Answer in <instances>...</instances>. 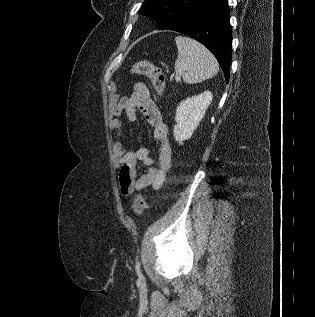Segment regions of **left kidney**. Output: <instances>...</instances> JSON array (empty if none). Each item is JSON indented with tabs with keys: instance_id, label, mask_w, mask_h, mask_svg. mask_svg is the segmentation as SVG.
Wrapping results in <instances>:
<instances>
[{
	"instance_id": "obj_1",
	"label": "left kidney",
	"mask_w": 315,
	"mask_h": 317,
	"mask_svg": "<svg viewBox=\"0 0 315 317\" xmlns=\"http://www.w3.org/2000/svg\"><path fill=\"white\" fill-rule=\"evenodd\" d=\"M212 93L205 91L199 95L183 100L176 109L173 133L175 140L182 145L191 138L212 101Z\"/></svg>"
}]
</instances>
